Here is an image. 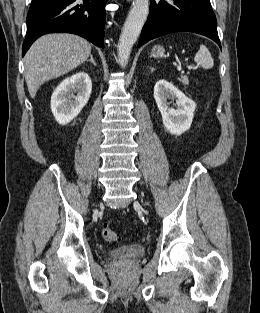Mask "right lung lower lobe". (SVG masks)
<instances>
[{
    "label": "right lung lower lobe",
    "mask_w": 260,
    "mask_h": 313,
    "mask_svg": "<svg viewBox=\"0 0 260 313\" xmlns=\"http://www.w3.org/2000/svg\"><path fill=\"white\" fill-rule=\"evenodd\" d=\"M106 1L32 0L22 56L38 37L55 32L77 34L104 48Z\"/></svg>",
    "instance_id": "right-lung-lower-lobe-1"
}]
</instances>
